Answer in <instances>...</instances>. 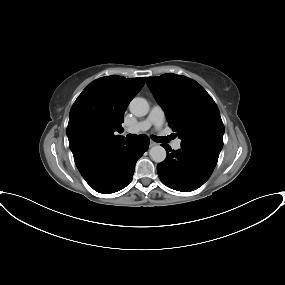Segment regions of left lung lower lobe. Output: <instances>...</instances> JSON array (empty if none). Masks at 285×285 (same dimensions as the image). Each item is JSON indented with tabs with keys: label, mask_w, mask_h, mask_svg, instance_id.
Wrapping results in <instances>:
<instances>
[{
	"label": "left lung lower lobe",
	"mask_w": 285,
	"mask_h": 285,
	"mask_svg": "<svg viewBox=\"0 0 285 285\" xmlns=\"http://www.w3.org/2000/svg\"><path fill=\"white\" fill-rule=\"evenodd\" d=\"M166 159L157 165L161 181L168 187L182 192L193 191L211 176L219 154L202 149L182 146L178 151L164 144Z\"/></svg>",
	"instance_id": "obj_1"
}]
</instances>
